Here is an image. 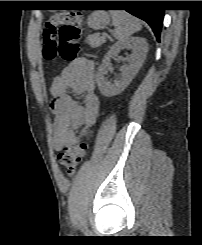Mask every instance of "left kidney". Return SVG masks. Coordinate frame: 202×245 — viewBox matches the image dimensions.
Masks as SVG:
<instances>
[{
  "mask_svg": "<svg viewBox=\"0 0 202 245\" xmlns=\"http://www.w3.org/2000/svg\"><path fill=\"white\" fill-rule=\"evenodd\" d=\"M124 49H131L133 51L129 58V64L128 66L121 67L120 79L109 82L106 80L105 75L107 74L110 58L117 56ZM147 52L148 44L144 38L132 37L116 42L104 57L102 65L98 68L96 82L101 94L111 97L121 93L139 72L146 59Z\"/></svg>",
  "mask_w": 202,
  "mask_h": 245,
  "instance_id": "obj_1",
  "label": "left kidney"
}]
</instances>
